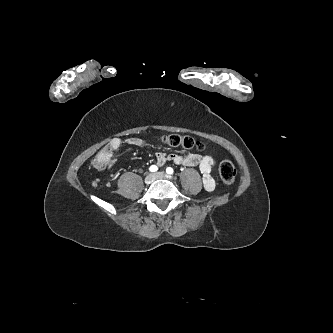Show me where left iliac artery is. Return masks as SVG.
<instances>
[{
    "label": "left iliac artery",
    "instance_id": "obj_1",
    "mask_svg": "<svg viewBox=\"0 0 333 333\" xmlns=\"http://www.w3.org/2000/svg\"><path fill=\"white\" fill-rule=\"evenodd\" d=\"M166 172H167V174H173L174 170H173V168L168 167V168L166 169Z\"/></svg>",
    "mask_w": 333,
    "mask_h": 333
}]
</instances>
